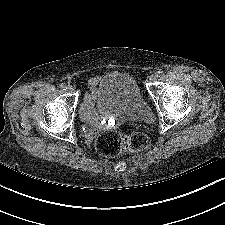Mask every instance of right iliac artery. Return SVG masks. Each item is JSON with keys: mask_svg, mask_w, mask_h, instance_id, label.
Returning <instances> with one entry per match:
<instances>
[{"mask_svg": "<svg viewBox=\"0 0 225 225\" xmlns=\"http://www.w3.org/2000/svg\"><path fill=\"white\" fill-rule=\"evenodd\" d=\"M60 88L63 89V90H66L67 89V85L65 83H62L60 85Z\"/></svg>", "mask_w": 225, "mask_h": 225, "instance_id": "right-iliac-artery-1", "label": "right iliac artery"}]
</instances>
